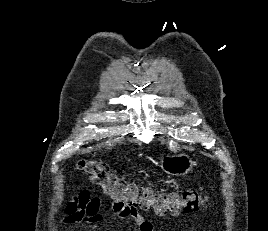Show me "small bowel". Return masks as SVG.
<instances>
[{
    "instance_id": "c3829d8e",
    "label": "small bowel",
    "mask_w": 268,
    "mask_h": 231,
    "mask_svg": "<svg viewBox=\"0 0 268 231\" xmlns=\"http://www.w3.org/2000/svg\"><path fill=\"white\" fill-rule=\"evenodd\" d=\"M100 204V198L94 196L88 190H84L66 205L62 221L66 225L101 226L106 231H110L105 217L99 213ZM113 208L119 216L131 217L139 231L153 230L152 223L145 219L136 208L124 209L117 204H113Z\"/></svg>"
}]
</instances>
